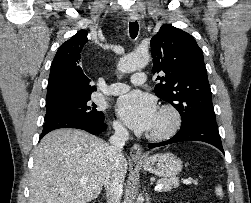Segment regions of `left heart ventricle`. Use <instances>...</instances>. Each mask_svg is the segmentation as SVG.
I'll return each mask as SVG.
<instances>
[{
  "mask_svg": "<svg viewBox=\"0 0 251 203\" xmlns=\"http://www.w3.org/2000/svg\"><path fill=\"white\" fill-rule=\"evenodd\" d=\"M167 125V118L164 117V116H160L158 114L157 116V119H156V122L152 128V130H159V129H162L164 128L165 126Z\"/></svg>",
  "mask_w": 251,
  "mask_h": 203,
  "instance_id": "obj_1",
  "label": "left heart ventricle"
}]
</instances>
